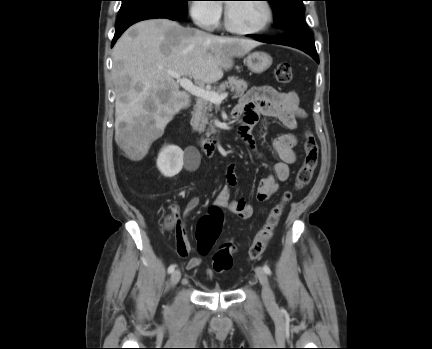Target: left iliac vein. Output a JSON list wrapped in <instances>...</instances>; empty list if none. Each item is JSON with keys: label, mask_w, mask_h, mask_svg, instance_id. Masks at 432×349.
Segmentation results:
<instances>
[{"label": "left iliac vein", "mask_w": 432, "mask_h": 349, "mask_svg": "<svg viewBox=\"0 0 432 349\" xmlns=\"http://www.w3.org/2000/svg\"><path fill=\"white\" fill-rule=\"evenodd\" d=\"M255 272L260 281V284L262 285V297L265 304L271 308L275 307L276 302H275L274 294L269 286L268 278L265 271L261 267H257L255 269Z\"/></svg>", "instance_id": "1"}]
</instances>
